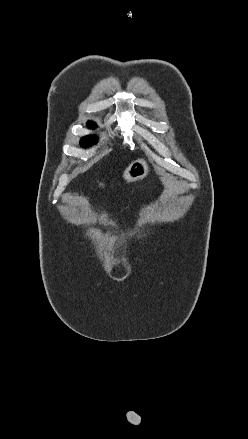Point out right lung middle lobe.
Masks as SVG:
<instances>
[{
  "instance_id": "1",
  "label": "right lung middle lobe",
  "mask_w": 248,
  "mask_h": 439,
  "mask_svg": "<svg viewBox=\"0 0 248 439\" xmlns=\"http://www.w3.org/2000/svg\"><path fill=\"white\" fill-rule=\"evenodd\" d=\"M88 126H89L90 128H94V127L96 126V124H95V123H92V122H89V123H88ZM96 141H97L96 136H86V137H84V138L81 139L80 144H81L82 146H84V147H89V146H91V145L96 144Z\"/></svg>"
}]
</instances>
